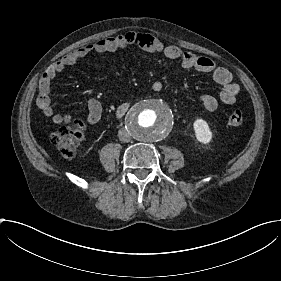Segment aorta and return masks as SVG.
I'll return each instance as SVG.
<instances>
[{
    "label": "aorta",
    "mask_w": 281,
    "mask_h": 281,
    "mask_svg": "<svg viewBox=\"0 0 281 281\" xmlns=\"http://www.w3.org/2000/svg\"><path fill=\"white\" fill-rule=\"evenodd\" d=\"M126 124L130 135L135 139L156 142L170 133L173 127V114L162 101L142 100L129 110Z\"/></svg>",
    "instance_id": "762f6f07"
}]
</instances>
